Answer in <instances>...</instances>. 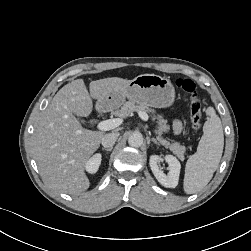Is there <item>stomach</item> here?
Returning <instances> with one entry per match:
<instances>
[{
	"label": "stomach",
	"mask_w": 251,
	"mask_h": 251,
	"mask_svg": "<svg viewBox=\"0 0 251 251\" xmlns=\"http://www.w3.org/2000/svg\"><path fill=\"white\" fill-rule=\"evenodd\" d=\"M140 105L166 108L173 104L175 90L168 78L155 74H142L126 85L108 92L99 107L114 109L120 107L125 99Z\"/></svg>",
	"instance_id": "stomach-1"
}]
</instances>
